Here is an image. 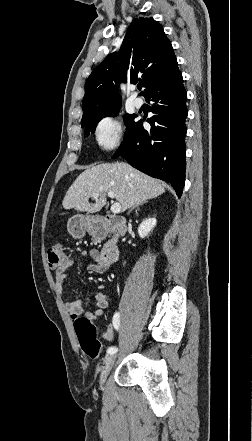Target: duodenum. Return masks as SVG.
<instances>
[{
	"instance_id": "duodenum-1",
	"label": "duodenum",
	"mask_w": 252,
	"mask_h": 441,
	"mask_svg": "<svg viewBox=\"0 0 252 441\" xmlns=\"http://www.w3.org/2000/svg\"><path fill=\"white\" fill-rule=\"evenodd\" d=\"M98 223H100L103 227H105L108 230L117 231L121 235L125 234L127 230L125 221L118 216L106 215L103 218L98 219ZM93 233L95 237L98 238L102 237L103 236L102 227L95 224ZM118 256H119V249L117 243L116 241H111L101 251L100 258L105 265L109 266L115 263V261L118 259Z\"/></svg>"
}]
</instances>
